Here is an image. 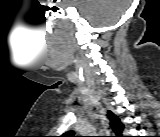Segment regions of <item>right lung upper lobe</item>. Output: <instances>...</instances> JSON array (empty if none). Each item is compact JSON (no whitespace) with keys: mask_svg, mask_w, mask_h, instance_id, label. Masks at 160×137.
Listing matches in <instances>:
<instances>
[{"mask_svg":"<svg viewBox=\"0 0 160 137\" xmlns=\"http://www.w3.org/2000/svg\"><path fill=\"white\" fill-rule=\"evenodd\" d=\"M108 117L110 119V122H111L110 125L113 131L117 135H121L124 129V125L121 123L120 119L115 114H113L111 111H108Z\"/></svg>","mask_w":160,"mask_h":137,"instance_id":"1","label":"right lung upper lobe"}]
</instances>
